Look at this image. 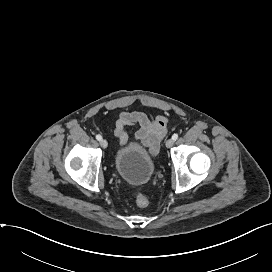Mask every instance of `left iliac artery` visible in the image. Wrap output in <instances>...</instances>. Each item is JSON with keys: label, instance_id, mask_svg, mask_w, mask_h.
<instances>
[{"label": "left iliac artery", "instance_id": "44dca946", "mask_svg": "<svg viewBox=\"0 0 272 272\" xmlns=\"http://www.w3.org/2000/svg\"><path fill=\"white\" fill-rule=\"evenodd\" d=\"M172 139H173L174 141L177 140V139H178V134L174 133V134L172 135Z\"/></svg>", "mask_w": 272, "mask_h": 272}]
</instances>
